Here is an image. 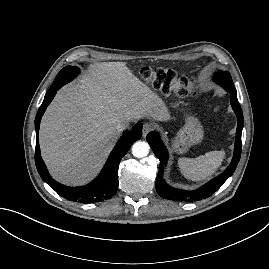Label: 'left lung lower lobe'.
<instances>
[{
	"label": "left lung lower lobe",
	"mask_w": 269,
	"mask_h": 269,
	"mask_svg": "<svg viewBox=\"0 0 269 269\" xmlns=\"http://www.w3.org/2000/svg\"><path fill=\"white\" fill-rule=\"evenodd\" d=\"M231 94V105L238 119V126L236 131V141L234 156L230 166L218 177L214 178L204 186L194 191H186L170 187L163 180V172L168 159L167 150L160 139L157 132H150L146 139L149 142L153 152L160 160L159 172L156 178L155 186L159 195L168 200L175 201H198L205 199L215 193L221 185L233 174L241 155V134L243 129V114L241 106L237 99V92L235 87L227 85L224 87Z\"/></svg>",
	"instance_id": "1"
}]
</instances>
